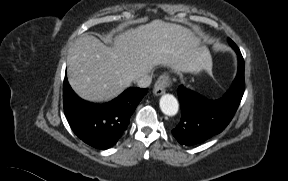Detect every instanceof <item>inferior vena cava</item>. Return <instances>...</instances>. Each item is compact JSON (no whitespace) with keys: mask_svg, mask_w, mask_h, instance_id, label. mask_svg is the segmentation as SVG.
I'll use <instances>...</instances> for the list:
<instances>
[{"mask_svg":"<svg viewBox=\"0 0 288 181\" xmlns=\"http://www.w3.org/2000/svg\"><path fill=\"white\" fill-rule=\"evenodd\" d=\"M152 77L149 74H142L135 78L134 82L138 87L145 88L151 84Z\"/></svg>","mask_w":288,"mask_h":181,"instance_id":"1","label":"inferior vena cava"}]
</instances>
